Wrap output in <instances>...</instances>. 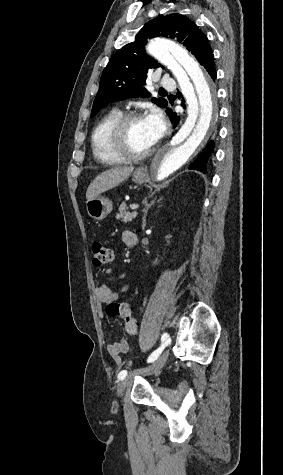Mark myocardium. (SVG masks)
Here are the masks:
<instances>
[{"label":"myocardium","mask_w":283,"mask_h":475,"mask_svg":"<svg viewBox=\"0 0 283 475\" xmlns=\"http://www.w3.org/2000/svg\"><path fill=\"white\" fill-rule=\"evenodd\" d=\"M141 117H143V115L140 111H130L124 113L112 126L104 146H108L113 143H118L120 145L124 144L126 142V136L131 123ZM154 151L155 145L141 155L112 158L100 150L99 156L103 162H134V164H137L148 159Z\"/></svg>","instance_id":"myocardium-1"}]
</instances>
